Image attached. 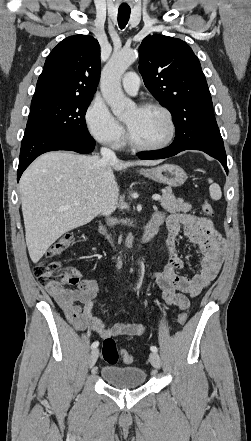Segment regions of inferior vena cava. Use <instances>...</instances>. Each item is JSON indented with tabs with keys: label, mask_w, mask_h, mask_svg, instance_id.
<instances>
[{
	"label": "inferior vena cava",
	"mask_w": 251,
	"mask_h": 441,
	"mask_svg": "<svg viewBox=\"0 0 251 441\" xmlns=\"http://www.w3.org/2000/svg\"><path fill=\"white\" fill-rule=\"evenodd\" d=\"M101 156L104 160L106 161H117V157L115 155V153L105 147H102L100 150ZM110 213H108L107 215H109ZM107 222L109 223V225L113 226L115 224V220L113 218H107Z\"/></svg>",
	"instance_id": "inferior-vena-cava-1"
}]
</instances>
